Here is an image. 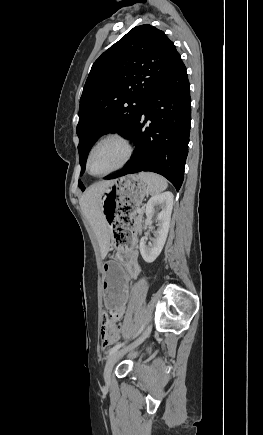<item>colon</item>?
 <instances>
[{
	"mask_svg": "<svg viewBox=\"0 0 263 435\" xmlns=\"http://www.w3.org/2000/svg\"><path fill=\"white\" fill-rule=\"evenodd\" d=\"M106 321H108V318H107V316H104V323L106 322ZM117 329H123V322L122 321H119L118 322V324H117ZM107 334V332L103 329V331H102V341H104V336Z\"/></svg>",
	"mask_w": 263,
	"mask_h": 435,
	"instance_id": "obj_1",
	"label": "colon"
}]
</instances>
